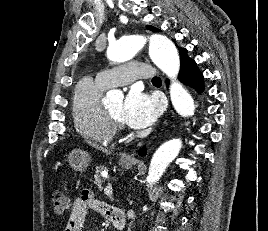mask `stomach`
Listing matches in <instances>:
<instances>
[{
    "label": "stomach",
    "mask_w": 268,
    "mask_h": 231,
    "mask_svg": "<svg viewBox=\"0 0 268 231\" xmlns=\"http://www.w3.org/2000/svg\"><path fill=\"white\" fill-rule=\"evenodd\" d=\"M67 161L75 171L83 172L91 162V157L84 150L74 149L67 155ZM120 165L125 169H130L133 163L131 161H121Z\"/></svg>",
    "instance_id": "1"
}]
</instances>
